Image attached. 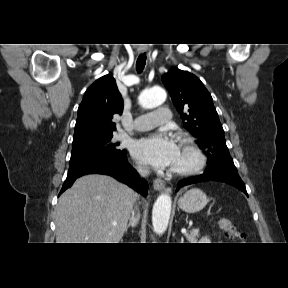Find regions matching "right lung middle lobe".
<instances>
[{"label": "right lung middle lobe", "instance_id": "1", "mask_svg": "<svg viewBox=\"0 0 288 288\" xmlns=\"http://www.w3.org/2000/svg\"><path fill=\"white\" fill-rule=\"evenodd\" d=\"M112 137L113 135H109L73 145L70 162H77L97 155H108L113 157L122 156L126 151L118 149L116 147L118 144H113L111 142Z\"/></svg>", "mask_w": 288, "mask_h": 288}]
</instances>
